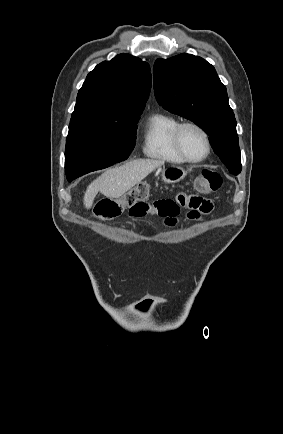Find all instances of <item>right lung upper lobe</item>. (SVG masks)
<instances>
[{"mask_svg": "<svg viewBox=\"0 0 283 434\" xmlns=\"http://www.w3.org/2000/svg\"><path fill=\"white\" fill-rule=\"evenodd\" d=\"M149 65L130 54L98 64L77 95L70 122L140 117L151 89Z\"/></svg>", "mask_w": 283, "mask_h": 434, "instance_id": "1", "label": "right lung upper lobe"}]
</instances>
